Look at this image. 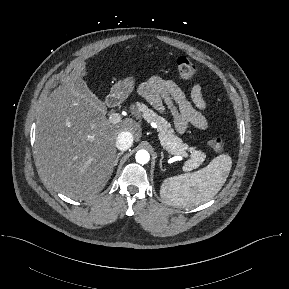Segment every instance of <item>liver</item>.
<instances>
[{
	"label": "liver",
	"mask_w": 289,
	"mask_h": 289,
	"mask_svg": "<svg viewBox=\"0 0 289 289\" xmlns=\"http://www.w3.org/2000/svg\"><path fill=\"white\" fill-rule=\"evenodd\" d=\"M86 75V63L80 61L49 95L36 127L35 158L41 177L75 200L93 197L108 183L120 132L129 131L136 141L142 135L140 121L110 123L89 94L77 89L76 80Z\"/></svg>",
	"instance_id": "1"
}]
</instances>
